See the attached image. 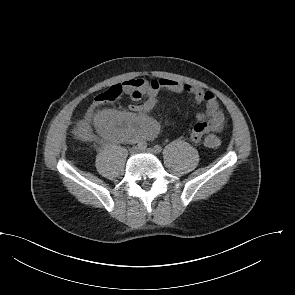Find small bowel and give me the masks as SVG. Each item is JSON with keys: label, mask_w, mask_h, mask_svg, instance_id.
<instances>
[{"label": "small bowel", "mask_w": 295, "mask_h": 295, "mask_svg": "<svg viewBox=\"0 0 295 295\" xmlns=\"http://www.w3.org/2000/svg\"><path fill=\"white\" fill-rule=\"evenodd\" d=\"M123 85L134 101L145 99L141 103L131 104L130 112L106 109L97 114L96 127L110 139L135 142L153 138L158 132V124L148 113L155 108L158 95L163 91L185 92L190 94L196 103L205 105V110L197 114V122L190 134L194 143L200 142L206 134L218 135L225 127L226 117L212 92L170 79H133Z\"/></svg>", "instance_id": "obj_1"}]
</instances>
